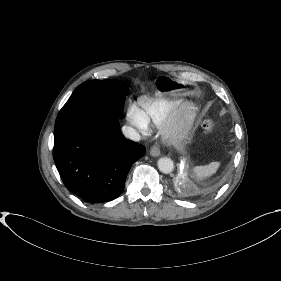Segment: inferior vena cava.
I'll return each instance as SVG.
<instances>
[{"label":"inferior vena cava","instance_id":"602c4592","mask_svg":"<svg viewBox=\"0 0 281 281\" xmlns=\"http://www.w3.org/2000/svg\"><path fill=\"white\" fill-rule=\"evenodd\" d=\"M122 133L126 138H129L133 141H139L141 139L140 134L130 126H123Z\"/></svg>","mask_w":281,"mask_h":281}]
</instances>
